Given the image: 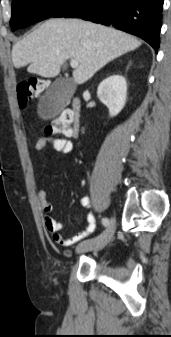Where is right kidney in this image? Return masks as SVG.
Masks as SVG:
<instances>
[{"mask_svg": "<svg viewBox=\"0 0 171 337\" xmlns=\"http://www.w3.org/2000/svg\"><path fill=\"white\" fill-rule=\"evenodd\" d=\"M97 96L108 107L110 117L116 116L126 103V79L120 75H112L106 78L99 84Z\"/></svg>", "mask_w": 171, "mask_h": 337, "instance_id": "right-kidney-1", "label": "right kidney"}]
</instances>
